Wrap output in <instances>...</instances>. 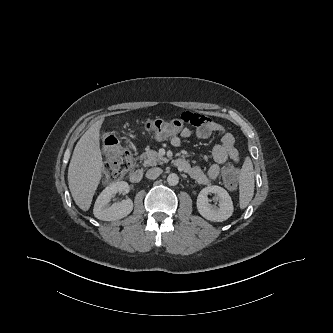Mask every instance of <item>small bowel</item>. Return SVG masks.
<instances>
[{
    "label": "small bowel",
    "instance_id": "small-bowel-1",
    "mask_svg": "<svg viewBox=\"0 0 333 333\" xmlns=\"http://www.w3.org/2000/svg\"><path fill=\"white\" fill-rule=\"evenodd\" d=\"M181 119L191 124L199 123L195 131L183 127L177 136L172 137L170 143L174 147H179L181 145L182 138L195 137L197 139H207L214 133L221 136V142L216 144L212 149L214 163L210 165L207 171H204L200 166L189 165V163L187 168H182V170L188 172L198 183L207 184L216 180L221 173L222 166L228 160H231L234 163L239 162L240 157L239 152L235 147V139L232 134L226 131L224 126L211 119L190 112L183 113Z\"/></svg>",
    "mask_w": 333,
    "mask_h": 333
}]
</instances>
